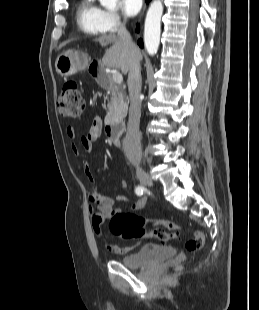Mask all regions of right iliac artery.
I'll return each mask as SVG.
<instances>
[{"mask_svg":"<svg viewBox=\"0 0 259 310\" xmlns=\"http://www.w3.org/2000/svg\"><path fill=\"white\" fill-rule=\"evenodd\" d=\"M145 191L144 187L143 186H137L136 189H135V192L138 196H141L143 195V192Z\"/></svg>","mask_w":259,"mask_h":310,"instance_id":"82829eb1","label":"right iliac artery"}]
</instances>
